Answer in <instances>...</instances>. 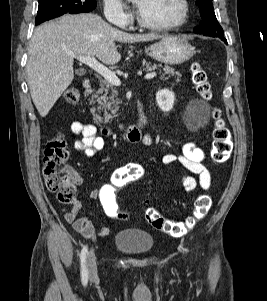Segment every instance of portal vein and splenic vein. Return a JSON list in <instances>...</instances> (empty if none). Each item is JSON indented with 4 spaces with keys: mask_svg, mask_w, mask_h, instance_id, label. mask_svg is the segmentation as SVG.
<instances>
[{
    "mask_svg": "<svg viewBox=\"0 0 267 301\" xmlns=\"http://www.w3.org/2000/svg\"><path fill=\"white\" fill-rule=\"evenodd\" d=\"M69 55L73 58H76L81 63L88 65L90 68H92L93 70L98 72L100 75H102L105 78V80L108 81L109 83H111L112 85H115V86H120L121 85V81L117 77V75L113 71L108 69L106 66L99 63L95 59V57H93V56H78L74 53H69ZM155 76H156V72L151 71V72H148L144 76V78L145 79H152Z\"/></svg>",
    "mask_w": 267,
    "mask_h": 301,
    "instance_id": "18ae733b",
    "label": "portal vein and splenic vein"
}]
</instances>
